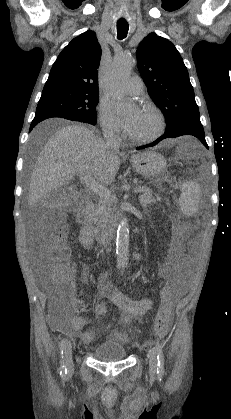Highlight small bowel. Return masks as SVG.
I'll list each match as a JSON object with an SVG mask.
<instances>
[{
    "label": "small bowel",
    "instance_id": "1",
    "mask_svg": "<svg viewBox=\"0 0 231 419\" xmlns=\"http://www.w3.org/2000/svg\"><path fill=\"white\" fill-rule=\"evenodd\" d=\"M80 243L87 249H91L92 245V235L87 230L82 229L80 233ZM178 250L175 251V256L173 258L165 256V263L161 270V276L167 277L171 270V267L174 264L175 259L177 258ZM88 275V264L84 263L82 265L81 279L82 281H87ZM98 296L101 299L110 300L119 310H120V324L126 325L130 324L133 321L140 320L154 305L153 300L144 299V300H133L124 296L119 292L112 283H110L106 278H100L97 282ZM104 306L102 303L96 306V311L98 313V308ZM73 307L77 313H82L85 311L84 303L77 299L73 298ZM87 324V320L81 316H74L71 320L64 324L63 327L69 333L81 338L84 342L89 343L93 340V332L84 331V327ZM114 336L119 339H123L124 336L120 331H116Z\"/></svg>",
    "mask_w": 231,
    "mask_h": 419
}]
</instances>
